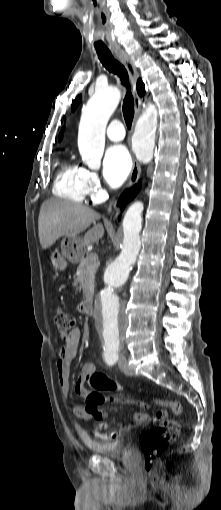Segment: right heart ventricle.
Returning a JSON list of instances; mask_svg holds the SVG:
<instances>
[{"label":"right heart ventricle","instance_id":"e07e8e85","mask_svg":"<svg viewBox=\"0 0 221 510\" xmlns=\"http://www.w3.org/2000/svg\"><path fill=\"white\" fill-rule=\"evenodd\" d=\"M53 193L60 198L82 203L86 197L83 185V168L64 160L58 169Z\"/></svg>","mask_w":221,"mask_h":510}]
</instances>
